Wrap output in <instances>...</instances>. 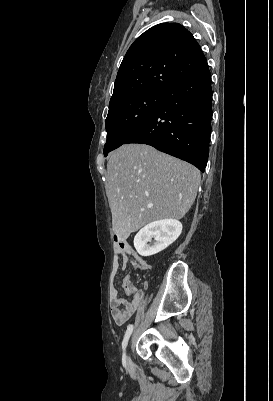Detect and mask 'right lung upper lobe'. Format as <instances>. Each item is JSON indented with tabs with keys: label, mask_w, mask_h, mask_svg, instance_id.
I'll return each instance as SVG.
<instances>
[{
	"label": "right lung upper lobe",
	"mask_w": 273,
	"mask_h": 401,
	"mask_svg": "<svg viewBox=\"0 0 273 401\" xmlns=\"http://www.w3.org/2000/svg\"><path fill=\"white\" fill-rule=\"evenodd\" d=\"M193 35L178 23H161L144 32L128 49L110 103L142 91L166 92L207 67Z\"/></svg>",
	"instance_id": "obj_1"
}]
</instances>
